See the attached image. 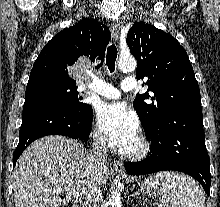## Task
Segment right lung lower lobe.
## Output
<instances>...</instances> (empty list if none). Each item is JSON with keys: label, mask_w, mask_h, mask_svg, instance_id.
<instances>
[{"label": "right lung lower lobe", "mask_w": 220, "mask_h": 207, "mask_svg": "<svg viewBox=\"0 0 220 207\" xmlns=\"http://www.w3.org/2000/svg\"><path fill=\"white\" fill-rule=\"evenodd\" d=\"M92 107L84 112L72 111L41 95L25 98L20 139L13 153V166L24 149L34 140L47 135H63L85 140L92 126Z\"/></svg>", "instance_id": "obj_1"}]
</instances>
